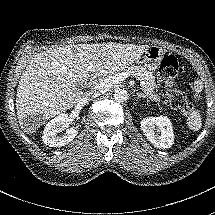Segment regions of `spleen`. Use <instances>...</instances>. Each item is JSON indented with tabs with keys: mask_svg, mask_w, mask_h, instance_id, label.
I'll use <instances>...</instances> for the list:
<instances>
[{
	"mask_svg": "<svg viewBox=\"0 0 215 215\" xmlns=\"http://www.w3.org/2000/svg\"><path fill=\"white\" fill-rule=\"evenodd\" d=\"M196 85H198V84L196 83ZM195 92H196L195 97H198V94L201 92L200 86L195 87ZM187 126L190 130H193V131H198L199 129H201L202 119L197 110H193L190 113L189 117L187 118Z\"/></svg>",
	"mask_w": 215,
	"mask_h": 215,
	"instance_id": "1",
	"label": "spleen"
}]
</instances>
